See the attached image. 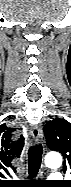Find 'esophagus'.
<instances>
[{
  "label": "esophagus",
  "instance_id": "34e87169",
  "mask_svg": "<svg viewBox=\"0 0 71 187\" xmlns=\"http://www.w3.org/2000/svg\"><path fill=\"white\" fill-rule=\"evenodd\" d=\"M30 135L32 140L35 143H40L42 142L43 134H42V128L39 125H34L30 129Z\"/></svg>",
  "mask_w": 71,
  "mask_h": 187
}]
</instances>
